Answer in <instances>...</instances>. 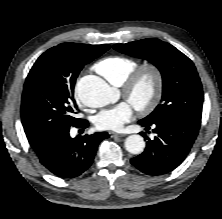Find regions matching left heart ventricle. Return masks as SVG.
<instances>
[{
    "mask_svg": "<svg viewBox=\"0 0 222 219\" xmlns=\"http://www.w3.org/2000/svg\"><path fill=\"white\" fill-rule=\"evenodd\" d=\"M152 92V81L149 76L144 75L139 82L137 83L134 91H133V101L135 103H145Z\"/></svg>",
    "mask_w": 222,
    "mask_h": 219,
    "instance_id": "1",
    "label": "left heart ventricle"
}]
</instances>
